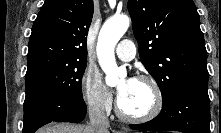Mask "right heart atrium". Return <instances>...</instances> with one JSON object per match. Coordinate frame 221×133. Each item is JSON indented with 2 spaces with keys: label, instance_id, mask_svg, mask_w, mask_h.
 I'll use <instances>...</instances> for the list:
<instances>
[{
  "label": "right heart atrium",
  "instance_id": "d8ad5b80",
  "mask_svg": "<svg viewBox=\"0 0 221 133\" xmlns=\"http://www.w3.org/2000/svg\"><path fill=\"white\" fill-rule=\"evenodd\" d=\"M81 94L91 111L105 114L111 109V94L97 70L91 68L85 70L81 79Z\"/></svg>",
  "mask_w": 221,
  "mask_h": 133
}]
</instances>
